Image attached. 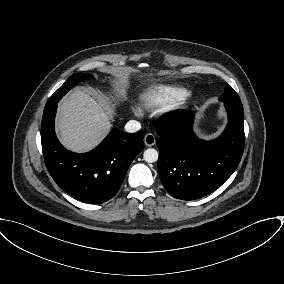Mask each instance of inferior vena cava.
I'll return each mask as SVG.
<instances>
[{
    "label": "inferior vena cava",
    "mask_w": 284,
    "mask_h": 284,
    "mask_svg": "<svg viewBox=\"0 0 284 284\" xmlns=\"http://www.w3.org/2000/svg\"><path fill=\"white\" fill-rule=\"evenodd\" d=\"M141 129V124L136 120H130L125 125V131L128 133H135Z\"/></svg>",
    "instance_id": "obj_1"
}]
</instances>
